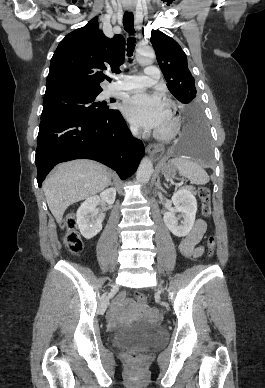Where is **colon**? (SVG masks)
Returning <instances> with one entry per match:
<instances>
[{"label": "colon", "mask_w": 265, "mask_h": 388, "mask_svg": "<svg viewBox=\"0 0 265 388\" xmlns=\"http://www.w3.org/2000/svg\"><path fill=\"white\" fill-rule=\"evenodd\" d=\"M198 196L201 201V210L203 215L206 217H210L212 214V208H211V193L209 188L205 186L200 187L198 190ZM62 229H63V241L67 249L71 253H79L83 248V243H82L80 234L77 231L76 220L73 214L66 215L62 223ZM208 247H209V255H212L216 247V238L214 236H211L209 238ZM135 299L140 304H144L147 301L146 295L140 291L135 292ZM128 357L133 361H137L139 359L138 354H136L135 352L128 354Z\"/></svg>", "instance_id": "obj_1"}]
</instances>
